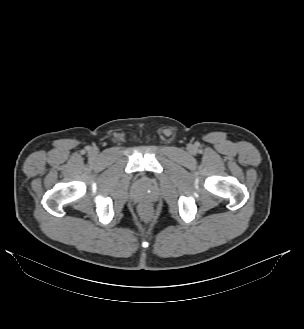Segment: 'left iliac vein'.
<instances>
[{
    "label": "left iliac vein",
    "mask_w": 304,
    "mask_h": 329,
    "mask_svg": "<svg viewBox=\"0 0 304 329\" xmlns=\"http://www.w3.org/2000/svg\"><path fill=\"white\" fill-rule=\"evenodd\" d=\"M190 151H191V152L193 151V148H192V147L190 148Z\"/></svg>",
    "instance_id": "obj_1"
}]
</instances>
